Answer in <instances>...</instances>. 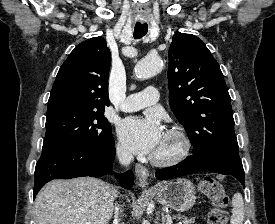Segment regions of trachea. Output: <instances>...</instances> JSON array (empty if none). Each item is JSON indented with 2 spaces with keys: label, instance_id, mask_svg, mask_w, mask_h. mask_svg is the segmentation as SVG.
<instances>
[{
  "label": "trachea",
  "instance_id": "obj_1",
  "mask_svg": "<svg viewBox=\"0 0 275 224\" xmlns=\"http://www.w3.org/2000/svg\"><path fill=\"white\" fill-rule=\"evenodd\" d=\"M148 31V26L147 25H136L134 28V38L135 39H140L143 36L146 35Z\"/></svg>",
  "mask_w": 275,
  "mask_h": 224
}]
</instances>
